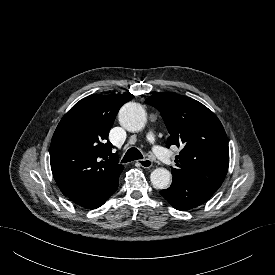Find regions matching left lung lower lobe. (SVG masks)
Returning a JSON list of instances; mask_svg holds the SVG:
<instances>
[{
  "instance_id": "left-lung-lower-lobe-1",
  "label": "left lung lower lobe",
  "mask_w": 275,
  "mask_h": 275,
  "mask_svg": "<svg viewBox=\"0 0 275 275\" xmlns=\"http://www.w3.org/2000/svg\"><path fill=\"white\" fill-rule=\"evenodd\" d=\"M215 190L194 182L173 178L168 189L160 191V194L177 210H190L207 201Z\"/></svg>"
}]
</instances>
